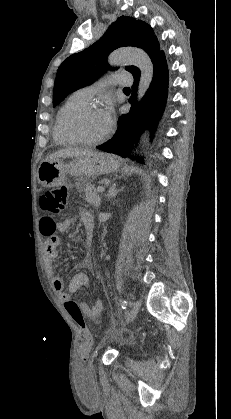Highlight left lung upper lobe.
<instances>
[{
    "label": "left lung upper lobe",
    "mask_w": 231,
    "mask_h": 419,
    "mask_svg": "<svg viewBox=\"0 0 231 419\" xmlns=\"http://www.w3.org/2000/svg\"><path fill=\"white\" fill-rule=\"evenodd\" d=\"M126 46L143 49L152 62L162 52L150 25L131 17L121 16L110 25L96 43L71 55L60 65L54 84L53 106L63 101L69 93L98 79L109 68L106 62L109 53ZM125 69L133 76L140 73L135 66H127Z\"/></svg>",
    "instance_id": "left-lung-upper-lobe-1"
}]
</instances>
